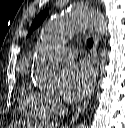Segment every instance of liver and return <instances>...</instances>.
Returning a JSON list of instances; mask_svg holds the SVG:
<instances>
[{
  "instance_id": "6515ba94",
  "label": "liver",
  "mask_w": 125,
  "mask_h": 128,
  "mask_svg": "<svg viewBox=\"0 0 125 128\" xmlns=\"http://www.w3.org/2000/svg\"><path fill=\"white\" fill-rule=\"evenodd\" d=\"M18 128H30L31 126L29 124L20 123L15 125Z\"/></svg>"
}]
</instances>
